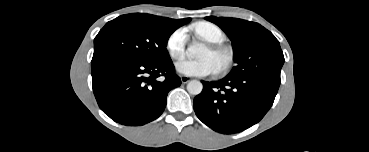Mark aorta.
Segmentation results:
<instances>
[{
  "label": "aorta",
  "mask_w": 369,
  "mask_h": 152,
  "mask_svg": "<svg viewBox=\"0 0 369 152\" xmlns=\"http://www.w3.org/2000/svg\"><path fill=\"white\" fill-rule=\"evenodd\" d=\"M188 54L192 57H200L206 50V47L197 41H193L188 46ZM203 85L198 80H191L187 84V91L192 95H198L202 92Z\"/></svg>",
  "instance_id": "762f6f07"
}]
</instances>
